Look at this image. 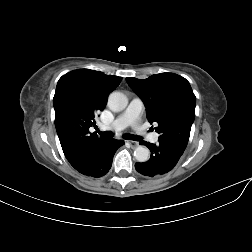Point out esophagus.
<instances>
[{
	"instance_id": "esophagus-1",
	"label": "esophagus",
	"mask_w": 252,
	"mask_h": 252,
	"mask_svg": "<svg viewBox=\"0 0 252 252\" xmlns=\"http://www.w3.org/2000/svg\"><path fill=\"white\" fill-rule=\"evenodd\" d=\"M129 143V145L132 147V148H135L138 146V142L136 141H127Z\"/></svg>"
}]
</instances>
